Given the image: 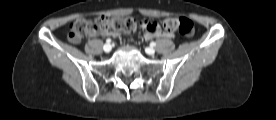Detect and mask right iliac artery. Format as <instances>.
Instances as JSON below:
<instances>
[{
    "mask_svg": "<svg viewBox=\"0 0 276 120\" xmlns=\"http://www.w3.org/2000/svg\"><path fill=\"white\" fill-rule=\"evenodd\" d=\"M106 42H107L108 44H110V42H111V39H107V40H106Z\"/></svg>",
    "mask_w": 276,
    "mask_h": 120,
    "instance_id": "1",
    "label": "right iliac artery"
}]
</instances>
